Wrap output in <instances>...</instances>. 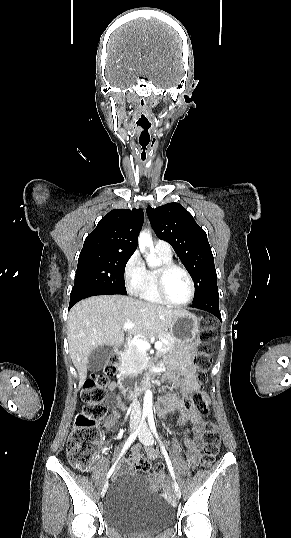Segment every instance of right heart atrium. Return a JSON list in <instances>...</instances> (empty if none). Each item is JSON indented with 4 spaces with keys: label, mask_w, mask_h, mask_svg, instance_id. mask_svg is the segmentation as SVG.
<instances>
[{
    "label": "right heart atrium",
    "mask_w": 291,
    "mask_h": 538,
    "mask_svg": "<svg viewBox=\"0 0 291 538\" xmlns=\"http://www.w3.org/2000/svg\"><path fill=\"white\" fill-rule=\"evenodd\" d=\"M146 268L138 251L133 252L123 267L125 286L130 294H139L145 279Z\"/></svg>",
    "instance_id": "right-heart-atrium-1"
}]
</instances>
